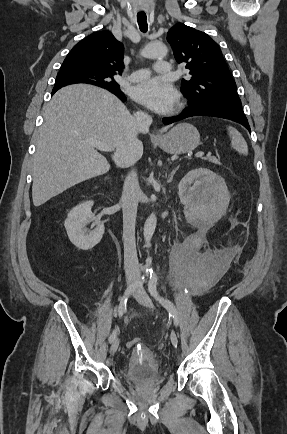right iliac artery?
I'll return each mask as SVG.
<instances>
[{
	"mask_svg": "<svg viewBox=\"0 0 287 434\" xmlns=\"http://www.w3.org/2000/svg\"><path fill=\"white\" fill-rule=\"evenodd\" d=\"M149 274L146 273L144 274L141 278H139L137 281H135L133 284H131L125 291L123 297L121 298L119 307H118V313H119V317H122L123 314L126 312L127 310V301L129 298V295L138 287H141L143 285V283L147 280ZM118 333V327H116L113 332L111 333L110 337H109V342H113V340L116 338Z\"/></svg>",
	"mask_w": 287,
	"mask_h": 434,
	"instance_id": "right-iliac-artery-1",
	"label": "right iliac artery"
}]
</instances>
